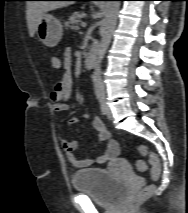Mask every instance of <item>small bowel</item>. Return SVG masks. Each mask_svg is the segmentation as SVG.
Instances as JSON below:
<instances>
[{
	"instance_id": "small-bowel-1",
	"label": "small bowel",
	"mask_w": 188,
	"mask_h": 213,
	"mask_svg": "<svg viewBox=\"0 0 188 213\" xmlns=\"http://www.w3.org/2000/svg\"><path fill=\"white\" fill-rule=\"evenodd\" d=\"M55 58L58 59L60 67L63 63L65 72L63 73L59 82L55 85L54 90L51 92L50 98L53 103V111L55 113H62L69 109L68 102L72 94L73 79L70 72L72 52L69 48L64 51L63 62L58 57ZM78 121L79 119L77 117H71L67 122L69 124H74ZM90 123L97 133L98 141L107 142V147L104 153L96 158L81 159L76 156L79 141L76 139L62 140V146L68 161L77 168H87L98 163L112 162L118 158L120 153L119 144L117 141L111 138V134L105 123L99 118H92Z\"/></svg>"
}]
</instances>
